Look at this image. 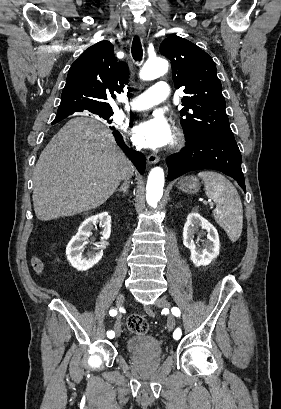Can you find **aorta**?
<instances>
[{
    "instance_id": "1",
    "label": "aorta",
    "mask_w": 281,
    "mask_h": 409,
    "mask_svg": "<svg viewBox=\"0 0 281 409\" xmlns=\"http://www.w3.org/2000/svg\"><path fill=\"white\" fill-rule=\"evenodd\" d=\"M168 61L162 58L149 59L144 64L140 77L143 80H154L168 71ZM164 171L161 167H154L148 176L146 186V200L149 206L156 208L163 196Z\"/></svg>"
}]
</instances>
